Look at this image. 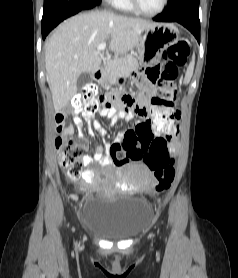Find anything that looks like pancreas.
<instances>
[{
    "mask_svg": "<svg viewBox=\"0 0 238 278\" xmlns=\"http://www.w3.org/2000/svg\"><path fill=\"white\" fill-rule=\"evenodd\" d=\"M137 66L138 60L134 53H130L123 57H117L106 66L109 82L113 84L119 77L129 75L130 72Z\"/></svg>",
    "mask_w": 238,
    "mask_h": 278,
    "instance_id": "cf45deb5",
    "label": "pancreas"
}]
</instances>
